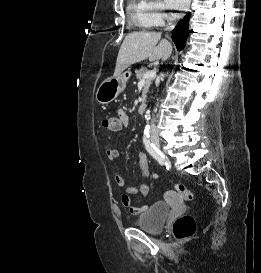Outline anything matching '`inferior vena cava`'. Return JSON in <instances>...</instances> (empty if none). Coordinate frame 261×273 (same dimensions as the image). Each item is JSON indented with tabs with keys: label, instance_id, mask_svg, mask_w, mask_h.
<instances>
[{
	"label": "inferior vena cava",
	"instance_id": "1",
	"mask_svg": "<svg viewBox=\"0 0 261 273\" xmlns=\"http://www.w3.org/2000/svg\"><path fill=\"white\" fill-rule=\"evenodd\" d=\"M172 21H173V18L170 17L169 20H168V24H167V26H166V28H165L166 31H171V30L174 29L175 25L172 23ZM167 58H168V57H167ZM167 58H166V59H167ZM151 136H152V137H155V138H158V130H157V128H156V125H155V123H154V120L152 121V124H151Z\"/></svg>",
	"mask_w": 261,
	"mask_h": 273
}]
</instances>
